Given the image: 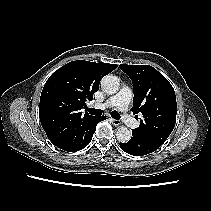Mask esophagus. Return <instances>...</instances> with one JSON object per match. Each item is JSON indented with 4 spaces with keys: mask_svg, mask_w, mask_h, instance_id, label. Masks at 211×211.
<instances>
[{
    "mask_svg": "<svg viewBox=\"0 0 211 211\" xmlns=\"http://www.w3.org/2000/svg\"><path fill=\"white\" fill-rule=\"evenodd\" d=\"M112 123L114 126H120L121 125V122L117 119H112Z\"/></svg>",
    "mask_w": 211,
    "mask_h": 211,
    "instance_id": "1",
    "label": "esophagus"
}]
</instances>
